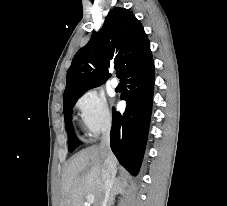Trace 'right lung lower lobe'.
Segmentation results:
<instances>
[{
	"label": "right lung lower lobe",
	"mask_w": 227,
	"mask_h": 206,
	"mask_svg": "<svg viewBox=\"0 0 227 206\" xmlns=\"http://www.w3.org/2000/svg\"><path fill=\"white\" fill-rule=\"evenodd\" d=\"M123 114L112 110L111 149L120 164L136 176L142 162L152 111L154 63L152 57L130 68L122 77Z\"/></svg>",
	"instance_id": "1"
}]
</instances>
